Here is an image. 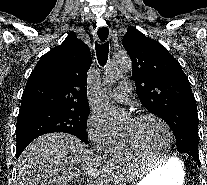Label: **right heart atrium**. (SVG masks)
<instances>
[{"label":"right heart atrium","mask_w":207,"mask_h":185,"mask_svg":"<svg viewBox=\"0 0 207 185\" xmlns=\"http://www.w3.org/2000/svg\"><path fill=\"white\" fill-rule=\"evenodd\" d=\"M87 135L92 147L99 152L106 151L118 136L105 115L97 110L93 111L89 117Z\"/></svg>","instance_id":"obj_1"}]
</instances>
